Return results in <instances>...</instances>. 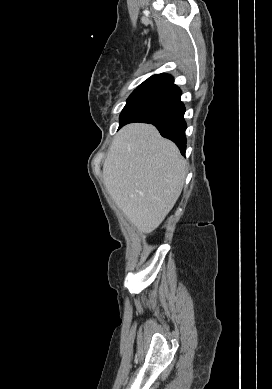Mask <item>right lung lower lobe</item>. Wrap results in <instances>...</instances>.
Segmentation results:
<instances>
[{"mask_svg": "<svg viewBox=\"0 0 272 389\" xmlns=\"http://www.w3.org/2000/svg\"><path fill=\"white\" fill-rule=\"evenodd\" d=\"M180 96L181 91L175 84L162 87L135 106L120 122L119 129L132 122L151 123L163 137L172 140L184 155L187 126L184 120L185 106Z\"/></svg>", "mask_w": 272, "mask_h": 389, "instance_id": "98d812e1", "label": "right lung lower lobe"}]
</instances>
